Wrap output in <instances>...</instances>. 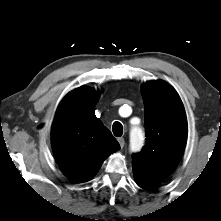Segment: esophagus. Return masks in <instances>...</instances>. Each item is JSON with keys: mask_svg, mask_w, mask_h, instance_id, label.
I'll return each instance as SVG.
<instances>
[{"mask_svg": "<svg viewBox=\"0 0 221 221\" xmlns=\"http://www.w3.org/2000/svg\"><path fill=\"white\" fill-rule=\"evenodd\" d=\"M118 142H119V144H120V147L123 148L124 145H125V140H124V138H122V137L118 138Z\"/></svg>", "mask_w": 221, "mask_h": 221, "instance_id": "esophagus-1", "label": "esophagus"}]
</instances>
